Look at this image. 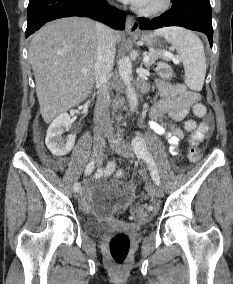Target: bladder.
I'll return each mask as SVG.
<instances>
[{
    "label": "bladder",
    "mask_w": 233,
    "mask_h": 284,
    "mask_svg": "<svg viewBox=\"0 0 233 284\" xmlns=\"http://www.w3.org/2000/svg\"><path fill=\"white\" fill-rule=\"evenodd\" d=\"M133 192L129 184L120 180L104 181L96 185L84 197V201L93 202L100 206H119L132 198ZM111 224L100 220H88L85 222V230L90 235H100Z\"/></svg>",
    "instance_id": "bladder-1"
}]
</instances>
